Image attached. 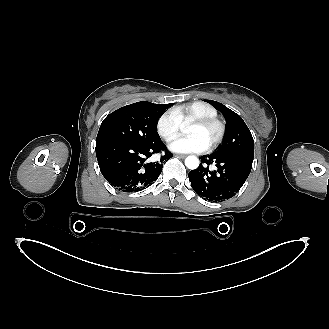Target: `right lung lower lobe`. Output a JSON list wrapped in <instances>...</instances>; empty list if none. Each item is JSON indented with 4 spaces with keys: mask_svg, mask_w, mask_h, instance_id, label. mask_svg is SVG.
<instances>
[{
    "mask_svg": "<svg viewBox=\"0 0 329 329\" xmlns=\"http://www.w3.org/2000/svg\"><path fill=\"white\" fill-rule=\"evenodd\" d=\"M96 156L105 179L121 192H138L156 181L162 163L172 157L166 152L157 162L147 163L152 154L166 150L160 140L152 144H138L114 139L96 141Z\"/></svg>",
    "mask_w": 329,
    "mask_h": 329,
    "instance_id": "98d812e1",
    "label": "right lung lower lobe"
}]
</instances>
